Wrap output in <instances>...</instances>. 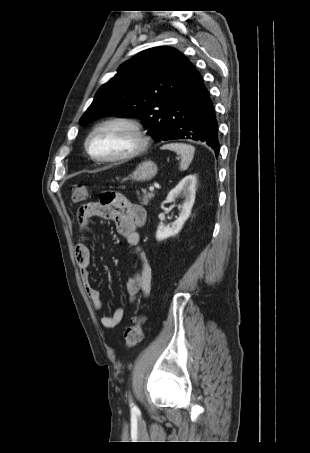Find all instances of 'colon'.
I'll list each match as a JSON object with an SVG mask.
<instances>
[{
	"instance_id": "colon-1",
	"label": "colon",
	"mask_w": 310,
	"mask_h": 453,
	"mask_svg": "<svg viewBox=\"0 0 310 453\" xmlns=\"http://www.w3.org/2000/svg\"><path fill=\"white\" fill-rule=\"evenodd\" d=\"M88 198V187L86 185H74L72 187V201L75 204L84 202ZM112 193L105 192L100 196V200L107 203L111 200ZM145 318L142 315H136L133 318V324L126 328L123 339L124 346L126 348H132L136 346L143 337V324Z\"/></svg>"
}]
</instances>
